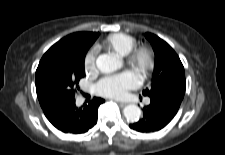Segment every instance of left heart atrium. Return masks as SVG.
Here are the masks:
<instances>
[{
	"label": "left heart atrium",
	"mask_w": 225,
	"mask_h": 155,
	"mask_svg": "<svg viewBox=\"0 0 225 155\" xmlns=\"http://www.w3.org/2000/svg\"><path fill=\"white\" fill-rule=\"evenodd\" d=\"M140 77L133 71H124L103 77L95 86L100 95L111 98H122L131 89L140 84Z\"/></svg>",
	"instance_id": "obj_1"
}]
</instances>
